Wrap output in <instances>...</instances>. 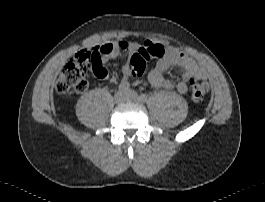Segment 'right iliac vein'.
<instances>
[{"mask_svg": "<svg viewBox=\"0 0 265 202\" xmlns=\"http://www.w3.org/2000/svg\"><path fill=\"white\" fill-rule=\"evenodd\" d=\"M114 98L115 101L120 104L127 101V95L123 92H117Z\"/></svg>", "mask_w": 265, "mask_h": 202, "instance_id": "1", "label": "right iliac vein"}]
</instances>
